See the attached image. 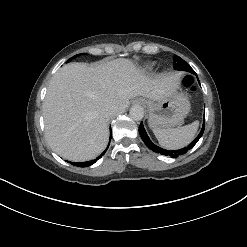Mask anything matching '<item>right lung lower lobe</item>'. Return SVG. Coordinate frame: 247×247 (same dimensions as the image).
<instances>
[{
	"label": "right lung lower lobe",
	"mask_w": 247,
	"mask_h": 247,
	"mask_svg": "<svg viewBox=\"0 0 247 247\" xmlns=\"http://www.w3.org/2000/svg\"><path fill=\"white\" fill-rule=\"evenodd\" d=\"M111 136H112V132L110 130V138H111ZM107 149H108V147L105 149V151L100 156H98L96 159H94L92 161L80 162V163H72V164L75 165V166H78V167H88V166L94 164L99 158H101L105 154Z\"/></svg>",
	"instance_id": "obj_1"
}]
</instances>
